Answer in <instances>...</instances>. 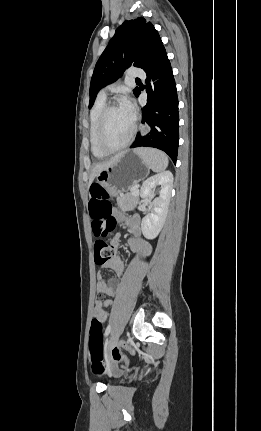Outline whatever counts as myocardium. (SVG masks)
Returning <instances> with one entry per match:
<instances>
[{
	"instance_id": "f54148a6",
	"label": "myocardium",
	"mask_w": 261,
	"mask_h": 431,
	"mask_svg": "<svg viewBox=\"0 0 261 431\" xmlns=\"http://www.w3.org/2000/svg\"><path fill=\"white\" fill-rule=\"evenodd\" d=\"M119 103L117 101H112L108 104H106V106L103 108L100 117H99V123H98V128H97V144L98 147L100 148V150L106 154H113L116 152H119L123 149H125L126 147H128L130 145V143L132 142L136 131H137V119L136 116H133V126L131 129V132L128 136V138L119 146L116 147H110L106 144L105 139H104V134H105V126H106V119L107 116L109 114V112L118 105Z\"/></svg>"
}]
</instances>
